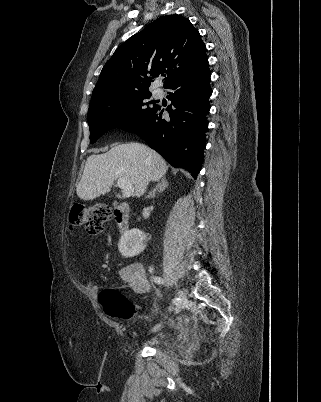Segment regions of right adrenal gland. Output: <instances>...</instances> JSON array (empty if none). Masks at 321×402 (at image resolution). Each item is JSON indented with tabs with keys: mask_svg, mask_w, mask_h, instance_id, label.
Instances as JSON below:
<instances>
[{
	"mask_svg": "<svg viewBox=\"0 0 321 402\" xmlns=\"http://www.w3.org/2000/svg\"><path fill=\"white\" fill-rule=\"evenodd\" d=\"M169 186L165 177H162L157 186L149 193L146 198H154L157 192H162Z\"/></svg>",
	"mask_w": 321,
	"mask_h": 402,
	"instance_id": "obj_1",
	"label": "right adrenal gland"
}]
</instances>
